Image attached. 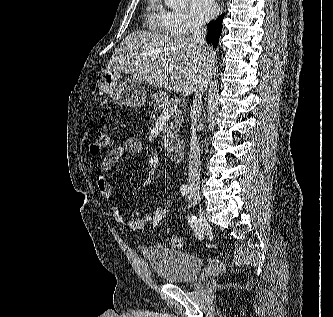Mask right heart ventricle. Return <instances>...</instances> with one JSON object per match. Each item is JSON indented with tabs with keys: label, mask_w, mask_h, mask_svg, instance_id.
Listing matches in <instances>:
<instances>
[{
	"label": "right heart ventricle",
	"mask_w": 333,
	"mask_h": 317,
	"mask_svg": "<svg viewBox=\"0 0 333 317\" xmlns=\"http://www.w3.org/2000/svg\"><path fill=\"white\" fill-rule=\"evenodd\" d=\"M165 12L159 0H147L144 15L147 28L153 32L166 33Z\"/></svg>",
	"instance_id": "e07e8e85"
}]
</instances>
